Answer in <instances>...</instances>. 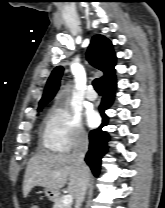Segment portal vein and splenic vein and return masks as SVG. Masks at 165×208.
I'll return each instance as SVG.
<instances>
[{
  "instance_id": "obj_1",
  "label": "portal vein and splenic vein",
  "mask_w": 165,
  "mask_h": 208,
  "mask_svg": "<svg viewBox=\"0 0 165 208\" xmlns=\"http://www.w3.org/2000/svg\"><path fill=\"white\" fill-rule=\"evenodd\" d=\"M57 176H59V174H57ZM72 202H73V197L70 194L65 195L62 199V203L64 205H70Z\"/></svg>"
}]
</instances>
